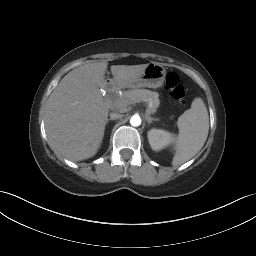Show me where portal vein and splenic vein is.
Returning a JSON list of instances; mask_svg holds the SVG:
<instances>
[{
	"mask_svg": "<svg viewBox=\"0 0 256 256\" xmlns=\"http://www.w3.org/2000/svg\"><path fill=\"white\" fill-rule=\"evenodd\" d=\"M146 113H147V114H150V113H151L150 110H149V108L146 109Z\"/></svg>",
	"mask_w": 256,
	"mask_h": 256,
	"instance_id": "1",
	"label": "portal vein and splenic vein"
}]
</instances>
